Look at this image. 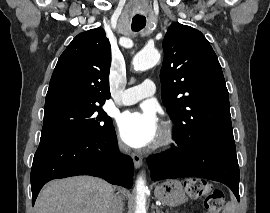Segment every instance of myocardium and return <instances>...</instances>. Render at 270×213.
I'll list each match as a JSON object with an SVG mask.
<instances>
[{
	"instance_id": "1",
	"label": "myocardium",
	"mask_w": 270,
	"mask_h": 213,
	"mask_svg": "<svg viewBox=\"0 0 270 213\" xmlns=\"http://www.w3.org/2000/svg\"><path fill=\"white\" fill-rule=\"evenodd\" d=\"M176 138L174 128L169 123H163L154 145V149H163L174 143Z\"/></svg>"
}]
</instances>
